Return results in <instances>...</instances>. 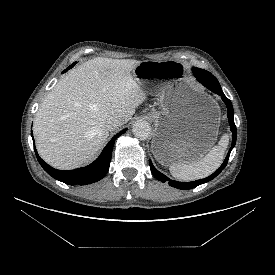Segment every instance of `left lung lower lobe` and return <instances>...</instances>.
I'll list each match as a JSON object with an SVG mask.
<instances>
[{
	"instance_id": "0a47b994",
	"label": "left lung lower lobe",
	"mask_w": 275,
	"mask_h": 275,
	"mask_svg": "<svg viewBox=\"0 0 275 275\" xmlns=\"http://www.w3.org/2000/svg\"><path fill=\"white\" fill-rule=\"evenodd\" d=\"M192 70H193V74L196 77V79L201 84H203L205 87H207L208 89H210L214 93H217L218 95H220L222 100L226 104L227 116H228V119H229V125H230V129L232 131V145H231V148H230L223 164L212 175H210L207 178H204V179H201V180H196V181H193V182H178V181L170 180L167 176H165L164 174L157 171L156 168L153 166L152 162L149 160V165H150L151 172L157 180H159L163 183L168 182L170 186L175 187L177 189H182V190L195 188L198 185L206 183V182L214 179L217 175H219L222 172V170L225 168V166L227 165L230 153H231L233 147L235 146L236 137H237V130H236V126H235V123H234V111H233L232 103L224 95V93H223V91L220 87V84H218L216 82L217 79L211 73H209L206 70H203V69H200V68H193Z\"/></svg>"
}]
</instances>
